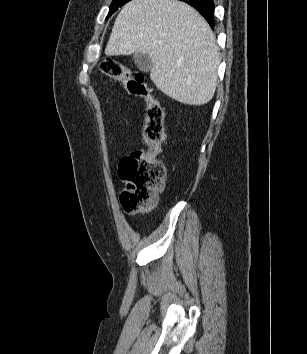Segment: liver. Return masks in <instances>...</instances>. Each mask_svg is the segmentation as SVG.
Here are the masks:
<instances>
[{
    "label": "liver",
    "instance_id": "liver-1",
    "mask_svg": "<svg viewBox=\"0 0 307 354\" xmlns=\"http://www.w3.org/2000/svg\"><path fill=\"white\" fill-rule=\"evenodd\" d=\"M146 53L150 78L172 99L203 105L214 96L220 64L207 21L178 0H132L118 14L105 54Z\"/></svg>",
    "mask_w": 307,
    "mask_h": 354
}]
</instances>
